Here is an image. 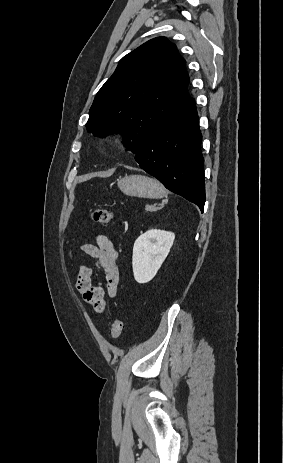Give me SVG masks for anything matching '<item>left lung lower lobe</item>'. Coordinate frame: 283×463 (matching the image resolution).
<instances>
[{
	"mask_svg": "<svg viewBox=\"0 0 283 463\" xmlns=\"http://www.w3.org/2000/svg\"><path fill=\"white\" fill-rule=\"evenodd\" d=\"M202 135L194 99L159 127L136 153L135 160L170 191L205 204Z\"/></svg>",
	"mask_w": 283,
	"mask_h": 463,
	"instance_id": "1",
	"label": "left lung lower lobe"
}]
</instances>
